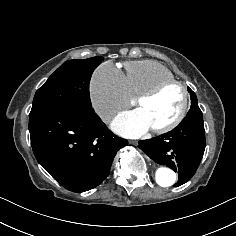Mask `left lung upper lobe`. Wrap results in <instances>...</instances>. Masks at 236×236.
<instances>
[{
    "instance_id": "5c2ea615",
    "label": "left lung upper lobe",
    "mask_w": 236,
    "mask_h": 236,
    "mask_svg": "<svg viewBox=\"0 0 236 236\" xmlns=\"http://www.w3.org/2000/svg\"><path fill=\"white\" fill-rule=\"evenodd\" d=\"M188 91L190 92L191 95V108L189 110V112L187 113V116H202V112L198 106V101H197V97L195 95V93L188 88Z\"/></svg>"
}]
</instances>
